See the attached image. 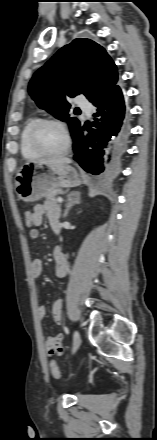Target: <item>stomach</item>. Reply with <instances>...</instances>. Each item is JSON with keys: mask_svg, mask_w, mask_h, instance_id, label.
Listing matches in <instances>:
<instances>
[{"mask_svg": "<svg viewBox=\"0 0 157 440\" xmlns=\"http://www.w3.org/2000/svg\"><path fill=\"white\" fill-rule=\"evenodd\" d=\"M81 183V173L68 164L51 166L32 162L17 172L15 191L20 200L35 202L59 188L77 187Z\"/></svg>", "mask_w": 157, "mask_h": 440, "instance_id": "stomach-1", "label": "stomach"}]
</instances>
